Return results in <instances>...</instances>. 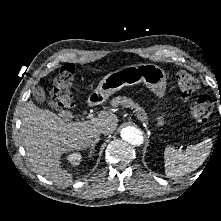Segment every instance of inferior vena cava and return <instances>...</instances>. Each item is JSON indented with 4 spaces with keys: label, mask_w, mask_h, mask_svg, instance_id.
Listing matches in <instances>:
<instances>
[{
    "label": "inferior vena cava",
    "mask_w": 221,
    "mask_h": 221,
    "mask_svg": "<svg viewBox=\"0 0 221 221\" xmlns=\"http://www.w3.org/2000/svg\"><path fill=\"white\" fill-rule=\"evenodd\" d=\"M101 133L105 134L106 131H105L104 129H102V128H101V129L94 130V132H93L94 138L96 139L97 137H99V135H100Z\"/></svg>",
    "instance_id": "obj_1"
}]
</instances>
